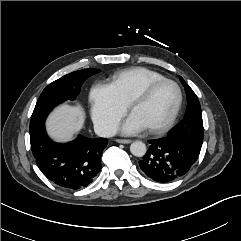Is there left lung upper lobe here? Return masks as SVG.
Here are the masks:
<instances>
[{
    "instance_id": "5c2ea615",
    "label": "left lung upper lobe",
    "mask_w": 241,
    "mask_h": 241,
    "mask_svg": "<svg viewBox=\"0 0 241 241\" xmlns=\"http://www.w3.org/2000/svg\"><path fill=\"white\" fill-rule=\"evenodd\" d=\"M180 80L187 94L188 105L186 114L184 120L167 137L180 139L191 149L200 153L204 135L201 106L194 91L182 77H180Z\"/></svg>"
}]
</instances>
